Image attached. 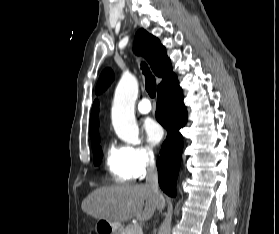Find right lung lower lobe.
Returning a JSON list of instances; mask_svg holds the SVG:
<instances>
[{"instance_id": "98d812e1", "label": "right lung lower lobe", "mask_w": 279, "mask_h": 234, "mask_svg": "<svg viewBox=\"0 0 279 234\" xmlns=\"http://www.w3.org/2000/svg\"><path fill=\"white\" fill-rule=\"evenodd\" d=\"M157 92L156 118L167 130V139L157 162L158 180L161 189L174 197L183 150V137L179 129L186 124L188 116L176 75L158 87Z\"/></svg>"}]
</instances>
